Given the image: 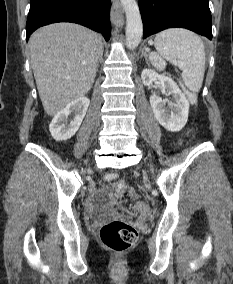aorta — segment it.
Masks as SVG:
<instances>
[{
    "mask_svg": "<svg viewBox=\"0 0 233 284\" xmlns=\"http://www.w3.org/2000/svg\"><path fill=\"white\" fill-rule=\"evenodd\" d=\"M126 14V45L135 49L141 42L143 24L136 0H120Z\"/></svg>",
    "mask_w": 233,
    "mask_h": 284,
    "instance_id": "762f6f07",
    "label": "aorta"
}]
</instances>
